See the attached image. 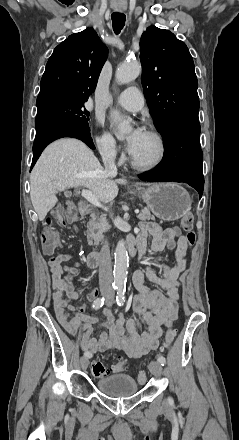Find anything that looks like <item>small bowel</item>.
I'll list each match as a JSON object with an SVG mask.
<instances>
[{"mask_svg":"<svg viewBox=\"0 0 239 440\" xmlns=\"http://www.w3.org/2000/svg\"><path fill=\"white\" fill-rule=\"evenodd\" d=\"M148 241L153 252H159L165 246L175 249V261L173 265L156 263L159 275L149 268L138 270L133 275V283L138 290L133 300V310L145 323V330H141L137 319H129L125 322L122 315L116 317L111 310L104 311L102 317L86 315L82 306L73 304L78 298V293L73 287L71 276H64L61 266L63 262L73 259V256L56 253L50 258L57 318L68 333L73 336L79 335L81 348L85 352L93 355L105 350H115L124 352L129 358H140L159 347L162 327L171 326L178 318L179 277L187 265L190 243L185 235L178 236L174 228H163L156 223L145 222L141 225V231L136 238L141 257L146 252ZM130 242L135 243V240L131 239ZM146 280L159 285L163 291L147 288ZM67 310L75 312V316L72 317ZM99 325L106 329L98 338H93L92 334Z\"/></svg>","mask_w":239,"mask_h":440,"instance_id":"obj_1","label":"small bowel"}]
</instances>
